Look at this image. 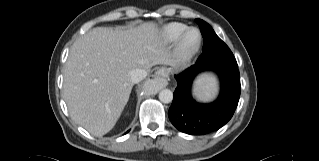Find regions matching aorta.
I'll return each instance as SVG.
<instances>
[{"label": "aorta", "mask_w": 319, "mask_h": 161, "mask_svg": "<svg viewBox=\"0 0 319 161\" xmlns=\"http://www.w3.org/2000/svg\"><path fill=\"white\" fill-rule=\"evenodd\" d=\"M159 100L162 103H170L173 100V93L169 89H163L159 92Z\"/></svg>", "instance_id": "1"}]
</instances>
